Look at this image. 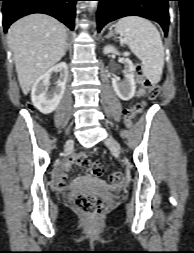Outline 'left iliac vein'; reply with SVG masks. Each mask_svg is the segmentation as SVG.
I'll return each instance as SVG.
<instances>
[{"mask_svg": "<svg viewBox=\"0 0 194 253\" xmlns=\"http://www.w3.org/2000/svg\"><path fill=\"white\" fill-rule=\"evenodd\" d=\"M105 144L107 147H109L111 150H114V151H120L121 150V146L120 144L112 137H108L106 140H105Z\"/></svg>", "mask_w": 194, "mask_h": 253, "instance_id": "left-iliac-vein-1", "label": "left iliac vein"}]
</instances>
